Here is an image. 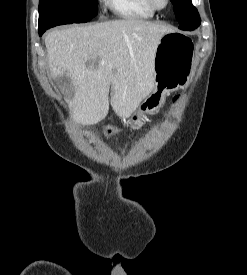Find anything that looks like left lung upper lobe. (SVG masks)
<instances>
[{
    "label": "left lung upper lobe",
    "instance_id": "5c2ea615",
    "mask_svg": "<svg viewBox=\"0 0 247 275\" xmlns=\"http://www.w3.org/2000/svg\"><path fill=\"white\" fill-rule=\"evenodd\" d=\"M174 12L179 21V28L192 31L200 25V16L191 0H171Z\"/></svg>",
    "mask_w": 247,
    "mask_h": 275
}]
</instances>
